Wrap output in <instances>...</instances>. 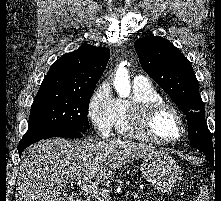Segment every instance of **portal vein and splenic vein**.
<instances>
[{
	"label": "portal vein and splenic vein",
	"instance_id": "obj_1",
	"mask_svg": "<svg viewBox=\"0 0 221 201\" xmlns=\"http://www.w3.org/2000/svg\"><path fill=\"white\" fill-rule=\"evenodd\" d=\"M77 185L82 192L93 195L98 201H107L110 198L108 194L101 193L96 186L91 185L88 179L78 180ZM133 197L139 199L140 195L135 193Z\"/></svg>",
	"mask_w": 221,
	"mask_h": 201
}]
</instances>
